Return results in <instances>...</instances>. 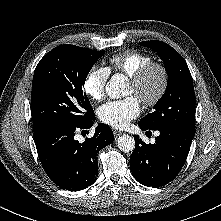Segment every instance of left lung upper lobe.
I'll return each mask as SVG.
<instances>
[{
	"label": "left lung upper lobe",
	"mask_w": 221,
	"mask_h": 221,
	"mask_svg": "<svg viewBox=\"0 0 221 221\" xmlns=\"http://www.w3.org/2000/svg\"><path fill=\"white\" fill-rule=\"evenodd\" d=\"M158 53L168 73L167 89L155 104L154 111L139 123L150 130L169 125H178L195 131V95L192 76L185 60L168 44L158 41H143Z\"/></svg>",
	"instance_id": "left-lung-upper-lobe-1"
}]
</instances>
